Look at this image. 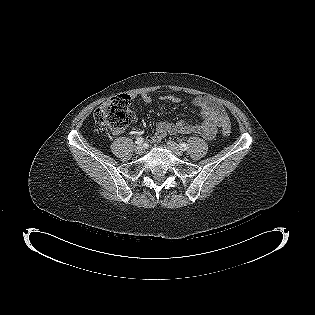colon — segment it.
Wrapping results in <instances>:
<instances>
[{
  "label": "colon",
  "instance_id": "5ec220e1",
  "mask_svg": "<svg viewBox=\"0 0 315 315\" xmlns=\"http://www.w3.org/2000/svg\"><path fill=\"white\" fill-rule=\"evenodd\" d=\"M94 119L97 125L102 128L112 130H123L134 119V114L130 109V97L121 94L110 98L98 107L94 113ZM222 132L224 135L230 133V126L223 125Z\"/></svg>",
  "mask_w": 315,
  "mask_h": 315
}]
</instances>
